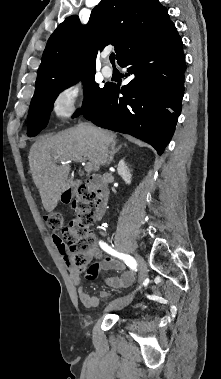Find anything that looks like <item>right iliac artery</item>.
I'll return each mask as SVG.
<instances>
[{"instance_id":"1","label":"right iliac artery","mask_w":221,"mask_h":379,"mask_svg":"<svg viewBox=\"0 0 221 379\" xmlns=\"http://www.w3.org/2000/svg\"><path fill=\"white\" fill-rule=\"evenodd\" d=\"M99 245L108 254H111L115 257L122 259L130 269L137 271V262L132 256L117 252L116 250H114L112 247H110L108 244H106L103 241H100Z\"/></svg>"}]
</instances>
